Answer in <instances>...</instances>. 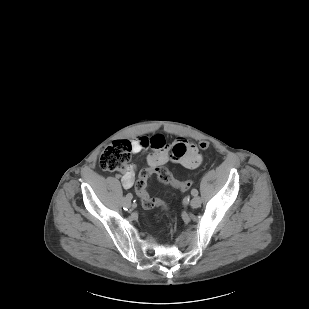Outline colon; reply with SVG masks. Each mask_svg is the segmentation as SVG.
Returning <instances> with one entry per match:
<instances>
[{"mask_svg": "<svg viewBox=\"0 0 309 309\" xmlns=\"http://www.w3.org/2000/svg\"><path fill=\"white\" fill-rule=\"evenodd\" d=\"M201 150H207L209 144L207 142H201L199 144ZM132 153V144L128 140H117L106 146L99 156V166L109 172L121 171L125 168L126 164L130 160ZM155 173L159 180L165 182L172 187L185 191L188 190L193 181L191 179L186 181L177 180L172 173L164 166H157L153 170L144 169L140 172L139 178L135 184L136 193L140 199L141 205L145 209H151L156 206L162 205L161 201L152 198L146 191L147 179Z\"/></svg>", "mask_w": 309, "mask_h": 309, "instance_id": "obj_1", "label": "colon"}]
</instances>
